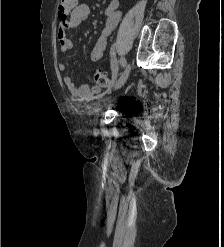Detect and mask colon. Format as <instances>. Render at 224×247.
<instances>
[{"instance_id": "colon-1", "label": "colon", "mask_w": 224, "mask_h": 247, "mask_svg": "<svg viewBox=\"0 0 224 247\" xmlns=\"http://www.w3.org/2000/svg\"><path fill=\"white\" fill-rule=\"evenodd\" d=\"M79 0H60L58 15L59 18L64 22L75 10ZM96 82L99 86L106 87L110 84V78L99 72L96 75Z\"/></svg>"}]
</instances>
